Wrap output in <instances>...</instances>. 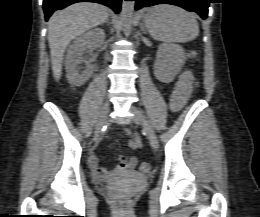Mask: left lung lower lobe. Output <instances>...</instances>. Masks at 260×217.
Wrapping results in <instances>:
<instances>
[{
	"mask_svg": "<svg viewBox=\"0 0 260 217\" xmlns=\"http://www.w3.org/2000/svg\"><path fill=\"white\" fill-rule=\"evenodd\" d=\"M136 1L135 9L149 7L156 4H172L188 11L198 13L203 19L207 18L210 0H133Z\"/></svg>",
	"mask_w": 260,
	"mask_h": 217,
	"instance_id": "0a47b994",
	"label": "left lung lower lobe"
}]
</instances>
